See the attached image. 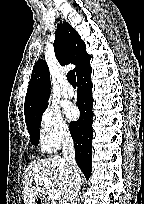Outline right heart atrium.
I'll list each match as a JSON object with an SVG mask.
<instances>
[{"instance_id": "right-heart-atrium-1", "label": "right heart atrium", "mask_w": 144, "mask_h": 204, "mask_svg": "<svg viewBox=\"0 0 144 204\" xmlns=\"http://www.w3.org/2000/svg\"><path fill=\"white\" fill-rule=\"evenodd\" d=\"M39 135L42 148L49 152L57 150L70 138L69 127L56 107L48 106L41 113Z\"/></svg>"}]
</instances>
